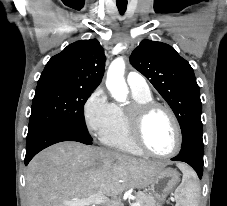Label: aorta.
<instances>
[{"mask_svg":"<svg viewBox=\"0 0 227 206\" xmlns=\"http://www.w3.org/2000/svg\"><path fill=\"white\" fill-rule=\"evenodd\" d=\"M124 72L125 62L122 57L113 60L107 72L106 87L111 96L118 102H125L128 95Z\"/></svg>","mask_w":227,"mask_h":206,"instance_id":"762f6f07","label":"aorta"}]
</instances>
